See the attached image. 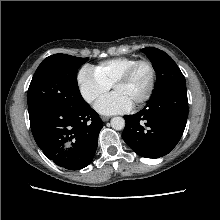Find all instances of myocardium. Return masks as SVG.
Wrapping results in <instances>:
<instances>
[{"label":"myocardium","instance_id":"1","mask_svg":"<svg viewBox=\"0 0 220 220\" xmlns=\"http://www.w3.org/2000/svg\"><path fill=\"white\" fill-rule=\"evenodd\" d=\"M141 65H147L150 69V74H151L150 84H149V88H148L146 94L140 100H138L133 105V107H139V106L145 104L147 101H149V99L152 97V95L154 93L155 86H156V79H157V72H156V68H155L154 64L150 60H147V59H142V60L136 61L115 81V83L112 86V88L114 90L118 86H121V85L127 83L132 78V76L134 75L137 68Z\"/></svg>","mask_w":220,"mask_h":220}]
</instances>
